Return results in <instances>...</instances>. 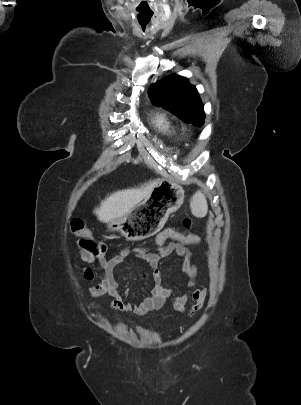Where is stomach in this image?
Listing matches in <instances>:
<instances>
[{"mask_svg": "<svg viewBox=\"0 0 301 405\" xmlns=\"http://www.w3.org/2000/svg\"><path fill=\"white\" fill-rule=\"evenodd\" d=\"M183 201L184 190L179 184L161 180L142 203L123 218L109 223V227L129 241L146 239L163 227L169 215L176 212Z\"/></svg>", "mask_w": 301, "mask_h": 405, "instance_id": "obj_1", "label": "stomach"}]
</instances>
